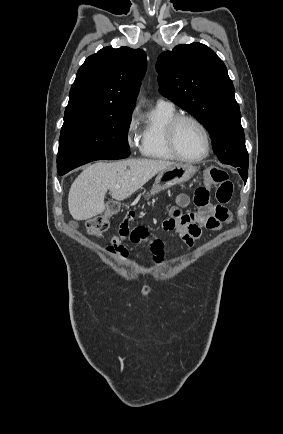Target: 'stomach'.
Masks as SVG:
<instances>
[{
  "mask_svg": "<svg viewBox=\"0 0 283 434\" xmlns=\"http://www.w3.org/2000/svg\"><path fill=\"white\" fill-rule=\"evenodd\" d=\"M196 171V167L183 163H176L171 167L160 171L148 196L155 195L174 185L188 181L193 177Z\"/></svg>",
  "mask_w": 283,
  "mask_h": 434,
  "instance_id": "stomach-1",
  "label": "stomach"
}]
</instances>
